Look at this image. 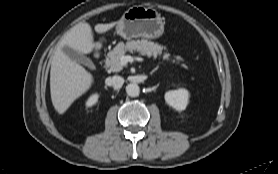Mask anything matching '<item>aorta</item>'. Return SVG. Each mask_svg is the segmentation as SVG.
I'll return each mask as SVG.
<instances>
[{"label":"aorta","mask_w":278,"mask_h":174,"mask_svg":"<svg viewBox=\"0 0 278 174\" xmlns=\"http://www.w3.org/2000/svg\"><path fill=\"white\" fill-rule=\"evenodd\" d=\"M126 92L131 97H137L140 93V88L136 83H130L126 87Z\"/></svg>","instance_id":"obj_1"}]
</instances>
